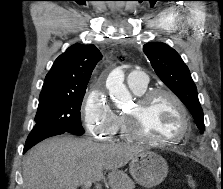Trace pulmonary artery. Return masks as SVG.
I'll return each instance as SVG.
<instances>
[{
    "label": "pulmonary artery",
    "mask_w": 223,
    "mask_h": 189,
    "mask_svg": "<svg viewBox=\"0 0 223 189\" xmlns=\"http://www.w3.org/2000/svg\"><path fill=\"white\" fill-rule=\"evenodd\" d=\"M148 77L146 73L142 70H133L128 75L127 85L132 90H140L147 86Z\"/></svg>",
    "instance_id": "e3ab8cb5"
}]
</instances>
